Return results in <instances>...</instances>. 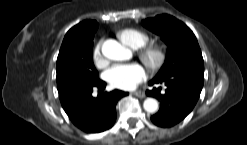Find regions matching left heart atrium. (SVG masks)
<instances>
[{
  "mask_svg": "<svg viewBox=\"0 0 247 145\" xmlns=\"http://www.w3.org/2000/svg\"><path fill=\"white\" fill-rule=\"evenodd\" d=\"M105 78L113 87L130 90L146 80L147 71L139 63L116 64L106 71Z\"/></svg>",
  "mask_w": 247,
  "mask_h": 145,
  "instance_id": "obj_1",
  "label": "left heart atrium"
}]
</instances>
